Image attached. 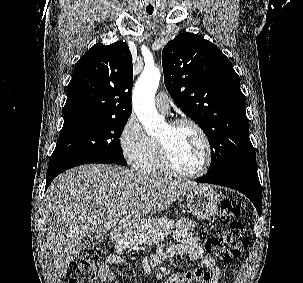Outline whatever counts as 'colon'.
Wrapping results in <instances>:
<instances>
[{
	"label": "colon",
	"instance_id": "colon-1",
	"mask_svg": "<svg viewBox=\"0 0 303 283\" xmlns=\"http://www.w3.org/2000/svg\"><path fill=\"white\" fill-rule=\"evenodd\" d=\"M242 215L240 207L225 200L220 206V220L228 226L224 234L214 235L205 242L206 249L223 263H229L238 257L248 245V238L243 224L239 221ZM105 253L100 248L88 250L74 259L66 272V283H96L97 267ZM204 276L202 269L177 275L174 283H192Z\"/></svg>",
	"mask_w": 303,
	"mask_h": 283
}]
</instances>
